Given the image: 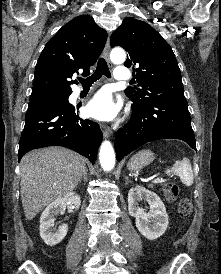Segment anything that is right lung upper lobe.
<instances>
[{
	"instance_id": "obj_1",
	"label": "right lung upper lobe",
	"mask_w": 221,
	"mask_h": 274,
	"mask_svg": "<svg viewBox=\"0 0 221 274\" xmlns=\"http://www.w3.org/2000/svg\"><path fill=\"white\" fill-rule=\"evenodd\" d=\"M107 40V32L91 17L80 15L65 24L45 45L35 68L30 100L71 94L74 74L96 63ZM74 83H77L75 80Z\"/></svg>"
}]
</instances>
